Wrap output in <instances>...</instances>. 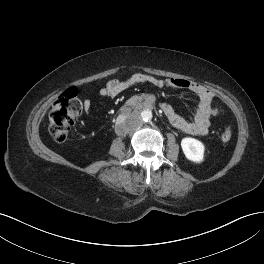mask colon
<instances>
[{"label":"colon","mask_w":264,"mask_h":264,"mask_svg":"<svg viewBox=\"0 0 264 264\" xmlns=\"http://www.w3.org/2000/svg\"><path fill=\"white\" fill-rule=\"evenodd\" d=\"M81 104L74 88L67 89L54 102L49 112V132L57 142H64L70 129L74 125L75 119L81 113ZM214 115H219L220 107L214 105ZM232 138L231 125H228L221 134V139L228 142Z\"/></svg>","instance_id":"colon-1"}]
</instances>
